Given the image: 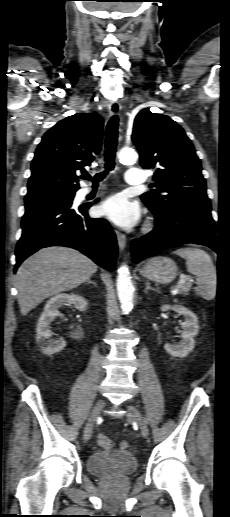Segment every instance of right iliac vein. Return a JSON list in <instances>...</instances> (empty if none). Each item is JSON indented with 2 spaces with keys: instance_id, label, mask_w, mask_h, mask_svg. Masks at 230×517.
Returning a JSON list of instances; mask_svg holds the SVG:
<instances>
[{
  "instance_id": "right-iliac-vein-1",
  "label": "right iliac vein",
  "mask_w": 230,
  "mask_h": 517,
  "mask_svg": "<svg viewBox=\"0 0 230 517\" xmlns=\"http://www.w3.org/2000/svg\"><path fill=\"white\" fill-rule=\"evenodd\" d=\"M105 407V401L100 399L95 404L84 429V440L88 441L92 435L93 427Z\"/></svg>"
}]
</instances>
